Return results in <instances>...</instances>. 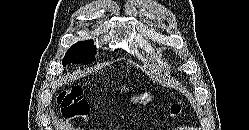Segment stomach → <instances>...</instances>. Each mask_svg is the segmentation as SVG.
<instances>
[{
  "label": "stomach",
  "instance_id": "stomach-1",
  "mask_svg": "<svg viewBox=\"0 0 249 130\" xmlns=\"http://www.w3.org/2000/svg\"><path fill=\"white\" fill-rule=\"evenodd\" d=\"M154 96L151 95L150 92H144L140 96L133 97L132 101L134 103L139 102L140 104H147L152 101Z\"/></svg>",
  "mask_w": 249,
  "mask_h": 130
}]
</instances>
